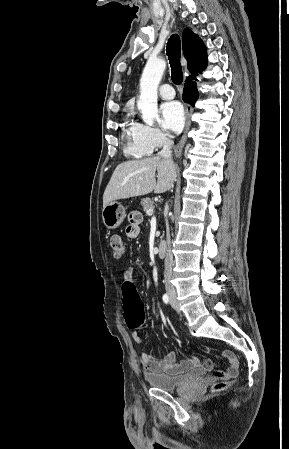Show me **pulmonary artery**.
Listing matches in <instances>:
<instances>
[{
    "label": "pulmonary artery",
    "mask_w": 289,
    "mask_h": 449,
    "mask_svg": "<svg viewBox=\"0 0 289 449\" xmlns=\"http://www.w3.org/2000/svg\"><path fill=\"white\" fill-rule=\"evenodd\" d=\"M159 95L163 99H172L175 96V91L171 85L163 84L159 87Z\"/></svg>",
    "instance_id": "1"
}]
</instances>
